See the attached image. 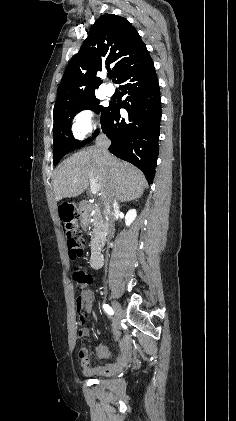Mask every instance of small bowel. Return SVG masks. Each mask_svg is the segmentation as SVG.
Masks as SVG:
<instances>
[{"mask_svg": "<svg viewBox=\"0 0 236 421\" xmlns=\"http://www.w3.org/2000/svg\"><path fill=\"white\" fill-rule=\"evenodd\" d=\"M94 300V296L91 290H86L79 298H78V307L85 308L87 310L90 309L92 303ZM89 334L87 329H82L80 331V336L84 337ZM100 355H105L104 351H100ZM82 362L83 367L85 368V371L88 372L89 370V361L87 357V351L85 350V354L81 357L79 356Z\"/></svg>", "mask_w": 236, "mask_h": 421, "instance_id": "1", "label": "small bowel"}]
</instances>
